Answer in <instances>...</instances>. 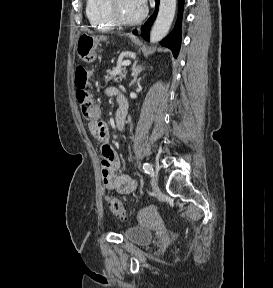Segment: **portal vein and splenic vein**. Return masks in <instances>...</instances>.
Wrapping results in <instances>:
<instances>
[{
    "instance_id": "1",
    "label": "portal vein and splenic vein",
    "mask_w": 273,
    "mask_h": 288,
    "mask_svg": "<svg viewBox=\"0 0 273 288\" xmlns=\"http://www.w3.org/2000/svg\"><path fill=\"white\" fill-rule=\"evenodd\" d=\"M130 64H131L130 60L123 61L122 63L123 66H129Z\"/></svg>"
}]
</instances>
